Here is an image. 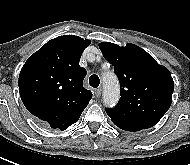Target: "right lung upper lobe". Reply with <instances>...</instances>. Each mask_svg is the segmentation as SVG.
<instances>
[{
    "label": "right lung upper lobe",
    "mask_w": 190,
    "mask_h": 165,
    "mask_svg": "<svg viewBox=\"0 0 190 165\" xmlns=\"http://www.w3.org/2000/svg\"><path fill=\"white\" fill-rule=\"evenodd\" d=\"M91 43L75 35L51 39L23 65L19 91L27 110L51 128L65 130L77 122L92 98L83 87L82 52Z\"/></svg>",
    "instance_id": "cb5924a9"
}]
</instances>
